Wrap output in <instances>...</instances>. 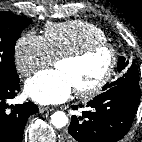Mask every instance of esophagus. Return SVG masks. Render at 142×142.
<instances>
[{
  "mask_svg": "<svg viewBox=\"0 0 142 142\" xmlns=\"http://www.w3.org/2000/svg\"><path fill=\"white\" fill-rule=\"evenodd\" d=\"M52 110H53V109L50 108V107H44V106H40V107H39V112H40V113L50 112V111H52Z\"/></svg>",
  "mask_w": 142,
  "mask_h": 142,
  "instance_id": "obj_1",
  "label": "esophagus"
}]
</instances>
